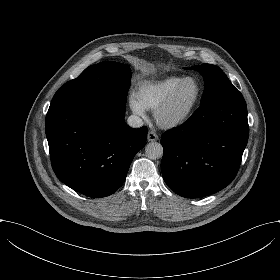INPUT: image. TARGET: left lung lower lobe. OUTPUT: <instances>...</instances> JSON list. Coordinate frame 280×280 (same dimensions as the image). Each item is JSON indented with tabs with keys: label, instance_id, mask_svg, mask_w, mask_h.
I'll return each instance as SVG.
<instances>
[{
	"label": "left lung lower lobe",
	"instance_id": "1",
	"mask_svg": "<svg viewBox=\"0 0 280 280\" xmlns=\"http://www.w3.org/2000/svg\"><path fill=\"white\" fill-rule=\"evenodd\" d=\"M247 106L237 91L201 105L180 127L161 136V171L178 195L200 198L235 178L248 141Z\"/></svg>",
	"mask_w": 280,
	"mask_h": 280
}]
</instances>
